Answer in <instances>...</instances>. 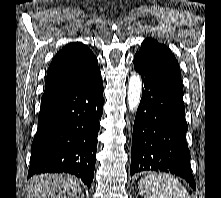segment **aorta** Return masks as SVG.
I'll return each mask as SVG.
<instances>
[{"label":"aorta","instance_id":"1","mask_svg":"<svg viewBox=\"0 0 221 198\" xmlns=\"http://www.w3.org/2000/svg\"><path fill=\"white\" fill-rule=\"evenodd\" d=\"M142 94V81L141 77L137 73H133V75L129 79L128 85V106L130 111H134L138 108Z\"/></svg>","mask_w":221,"mask_h":198}]
</instances>
